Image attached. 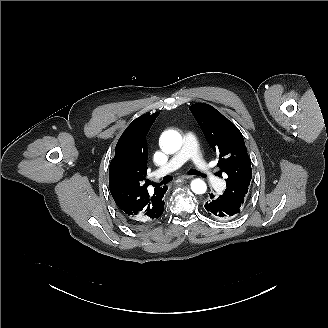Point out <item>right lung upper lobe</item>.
<instances>
[{
	"mask_svg": "<svg viewBox=\"0 0 328 328\" xmlns=\"http://www.w3.org/2000/svg\"><path fill=\"white\" fill-rule=\"evenodd\" d=\"M159 113L136 118L123 132L110 163L109 186L122 216L135 226L156 221L163 213L167 187L148 193L146 135Z\"/></svg>",
	"mask_w": 328,
	"mask_h": 328,
	"instance_id": "obj_1",
	"label": "right lung upper lobe"
}]
</instances>
